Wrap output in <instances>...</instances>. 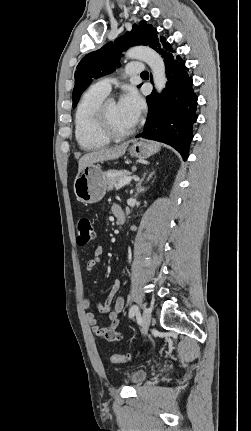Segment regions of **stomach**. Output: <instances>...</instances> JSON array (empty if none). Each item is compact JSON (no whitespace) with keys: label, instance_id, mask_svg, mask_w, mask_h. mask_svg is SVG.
Here are the masks:
<instances>
[{"label":"stomach","instance_id":"obj_1","mask_svg":"<svg viewBox=\"0 0 251 431\" xmlns=\"http://www.w3.org/2000/svg\"><path fill=\"white\" fill-rule=\"evenodd\" d=\"M159 151L157 144L144 141H135L129 149L132 157L146 159ZM107 189L106 174L100 165L94 163L87 165L79 172L74 181V193L79 202L93 204L99 202Z\"/></svg>","mask_w":251,"mask_h":431}]
</instances>
